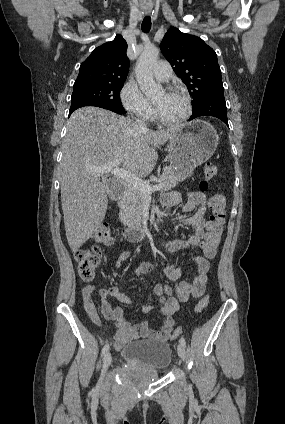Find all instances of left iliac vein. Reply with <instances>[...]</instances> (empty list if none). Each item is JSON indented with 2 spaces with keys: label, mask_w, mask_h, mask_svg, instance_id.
Listing matches in <instances>:
<instances>
[{
  "label": "left iliac vein",
  "mask_w": 285,
  "mask_h": 424,
  "mask_svg": "<svg viewBox=\"0 0 285 424\" xmlns=\"http://www.w3.org/2000/svg\"><path fill=\"white\" fill-rule=\"evenodd\" d=\"M177 350H178V355L180 356V358L184 359L186 355L185 346L179 343L177 346Z\"/></svg>",
  "instance_id": "1"
}]
</instances>
